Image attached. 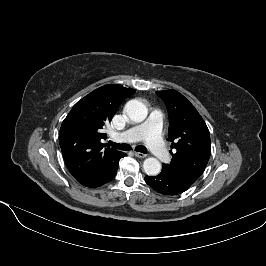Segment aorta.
Wrapping results in <instances>:
<instances>
[{
  "instance_id": "aorta-1",
  "label": "aorta",
  "mask_w": 266,
  "mask_h": 266,
  "mask_svg": "<svg viewBox=\"0 0 266 266\" xmlns=\"http://www.w3.org/2000/svg\"><path fill=\"white\" fill-rule=\"evenodd\" d=\"M125 111L130 120L136 123L144 121L148 113L146 106L136 99L127 102ZM143 169L147 175L155 176L161 171V163L158 159L149 157L144 160Z\"/></svg>"
}]
</instances>
